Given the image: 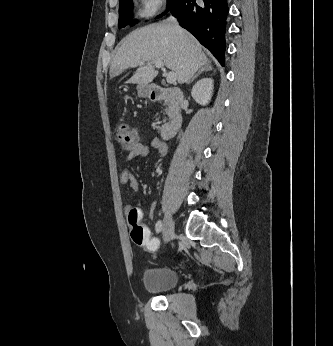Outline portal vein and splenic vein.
Masks as SVG:
<instances>
[{"instance_id":"portal-vein-and-splenic-vein-1","label":"portal vein and splenic vein","mask_w":333,"mask_h":346,"mask_svg":"<svg viewBox=\"0 0 333 346\" xmlns=\"http://www.w3.org/2000/svg\"><path fill=\"white\" fill-rule=\"evenodd\" d=\"M154 65L157 68H163L164 67V63L161 60L155 61ZM166 81L169 84L175 83L176 82V74L174 72H170V73L166 74Z\"/></svg>"}]
</instances>
